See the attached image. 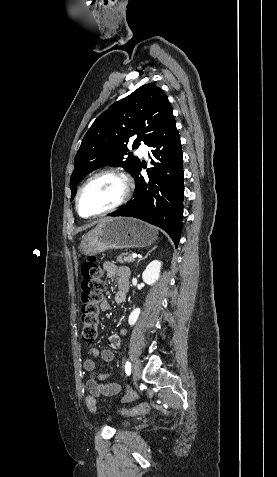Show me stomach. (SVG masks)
<instances>
[{
    "label": "stomach",
    "mask_w": 277,
    "mask_h": 477,
    "mask_svg": "<svg viewBox=\"0 0 277 477\" xmlns=\"http://www.w3.org/2000/svg\"><path fill=\"white\" fill-rule=\"evenodd\" d=\"M154 227L129 217L106 218L82 239L80 250L95 255L109 249L147 247L156 240Z\"/></svg>",
    "instance_id": "obj_1"
}]
</instances>
